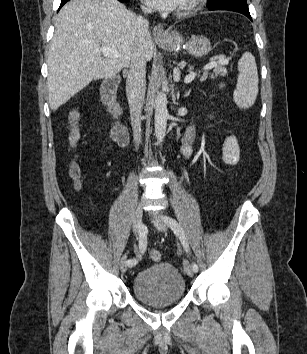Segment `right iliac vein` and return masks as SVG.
Returning a JSON list of instances; mask_svg holds the SVG:
<instances>
[{"label":"right iliac vein","mask_w":307,"mask_h":354,"mask_svg":"<svg viewBox=\"0 0 307 354\" xmlns=\"http://www.w3.org/2000/svg\"><path fill=\"white\" fill-rule=\"evenodd\" d=\"M142 205L139 203L135 209L134 215H133V230L135 234L137 235L139 233L141 221H142ZM127 256H123L120 261V270L121 272L125 273L127 271L128 265H127Z\"/></svg>","instance_id":"63e3f726"}]
</instances>
